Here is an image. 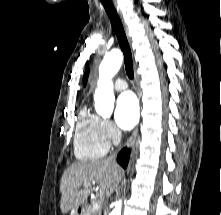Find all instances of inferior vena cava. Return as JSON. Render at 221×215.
I'll use <instances>...</instances> for the list:
<instances>
[{"mask_svg": "<svg viewBox=\"0 0 221 215\" xmlns=\"http://www.w3.org/2000/svg\"><path fill=\"white\" fill-rule=\"evenodd\" d=\"M115 157V155L114 156H111L110 158H108V160H110V161H112V159Z\"/></svg>", "mask_w": 221, "mask_h": 215, "instance_id": "602c4592", "label": "inferior vena cava"}]
</instances>
